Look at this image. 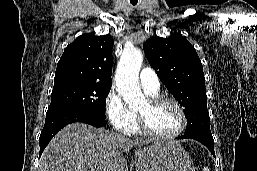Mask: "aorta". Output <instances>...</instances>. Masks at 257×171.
Returning <instances> with one entry per match:
<instances>
[{
    "label": "aorta",
    "instance_id": "obj_1",
    "mask_svg": "<svg viewBox=\"0 0 257 171\" xmlns=\"http://www.w3.org/2000/svg\"><path fill=\"white\" fill-rule=\"evenodd\" d=\"M143 62L142 52L138 48L125 49L116 70L117 91L130 109L145 103L139 85V71Z\"/></svg>",
    "mask_w": 257,
    "mask_h": 171
}]
</instances>
